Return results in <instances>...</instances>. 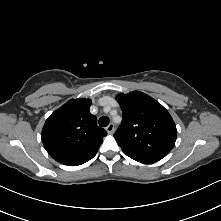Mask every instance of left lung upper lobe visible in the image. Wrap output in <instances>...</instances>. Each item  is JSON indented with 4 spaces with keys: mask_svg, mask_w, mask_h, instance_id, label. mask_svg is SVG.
Wrapping results in <instances>:
<instances>
[{
    "mask_svg": "<svg viewBox=\"0 0 221 221\" xmlns=\"http://www.w3.org/2000/svg\"><path fill=\"white\" fill-rule=\"evenodd\" d=\"M123 114L114 137L126 155L164 158L173 148L176 125L168 111L145 93L133 91L116 97Z\"/></svg>",
    "mask_w": 221,
    "mask_h": 221,
    "instance_id": "obj_1",
    "label": "left lung upper lobe"
}]
</instances>
